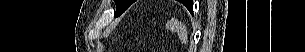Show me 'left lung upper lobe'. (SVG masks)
<instances>
[{
  "label": "left lung upper lobe",
  "instance_id": "5c2ea615",
  "mask_svg": "<svg viewBox=\"0 0 305 52\" xmlns=\"http://www.w3.org/2000/svg\"><path fill=\"white\" fill-rule=\"evenodd\" d=\"M133 0H116V16L121 15L133 3ZM191 1H182L185 6H188Z\"/></svg>",
  "mask_w": 305,
  "mask_h": 52
}]
</instances>
